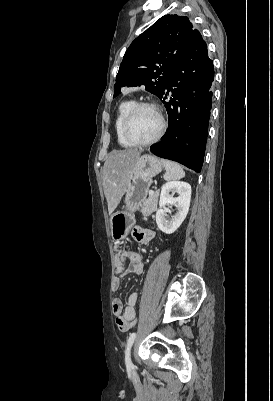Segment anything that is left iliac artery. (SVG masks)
<instances>
[{"mask_svg":"<svg viewBox=\"0 0 273 401\" xmlns=\"http://www.w3.org/2000/svg\"><path fill=\"white\" fill-rule=\"evenodd\" d=\"M135 338H136V333H131L127 340V346H126V351H125V363H126L127 369L134 367V365L131 362V358H130V349L134 343Z\"/></svg>","mask_w":273,"mask_h":401,"instance_id":"obj_1","label":"left iliac artery"}]
</instances>
